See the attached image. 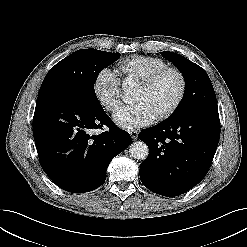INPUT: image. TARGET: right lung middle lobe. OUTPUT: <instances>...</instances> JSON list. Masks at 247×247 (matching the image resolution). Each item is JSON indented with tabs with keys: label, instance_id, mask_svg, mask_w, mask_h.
<instances>
[{
	"label": "right lung middle lobe",
	"instance_id": "right-lung-middle-lobe-1",
	"mask_svg": "<svg viewBox=\"0 0 247 247\" xmlns=\"http://www.w3.org/2000/svg\"><path fill=\"white\" fill-rule=\"evenodd\" d=\"M119 53L81 49L58 62L47 73L39 93L66 90L80 96L92 107H101L94 83L102 69L115 62Z\"/></svg>",
	"mask_w": 247,
	"mask_h": 247
}]
</instances>
